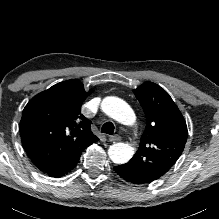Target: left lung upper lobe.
I'll list each match as a JSON object with an SVG mask.
<instances>
[{"mask_svg": "<svg viewBox=\"0 0 219 219\" xmlns=\"http://www.w3.org/2000/svg\"><path fill=\"white\" fill-rule=\"evenodd\" d=\"M133 92L143 108L147 123L138 151L125 165L158 179L182 154L187 126L177 105L159 85L145 82Z\"/></svg>", "mask_w": 219, "mask_h": 219, "instance_id": "5c2ea615", "label": "left lung upper lobe"}]
</instances>
